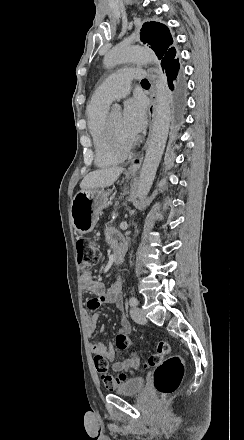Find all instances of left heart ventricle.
<instances>
[{
    "label": "left heart ventricle",
    "instance_id": "b2bd125f",
    "mask_svg": "<svg viewBox=\"0 0 244 440\" xmlns=\"http://www.w3.org/2000/svg\"><path fill=\"white\" fill-rule=\"evenodd\" d=\"M109 122L114 131L125 134L126 130L124 128V119L120 111L110 112Z\"/></svg>",
    "mask_w": 244,
    "mask_h": 440
}]
</instances>
